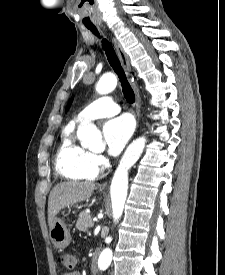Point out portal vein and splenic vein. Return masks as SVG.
<instances>
[{
  "label": "portal vein and splenic vein",
  "mask_w": 225,
  "mask_h": 275,
  "mask_svg": "<svg viewBox=\"0 0 225 275\" xmlns=\"http://www.w3.org/2000/svg\"><path fill=\"white\" fill-rule=\"evenodd\" d=\"M91 225L93 226V222L91 221Z\"/></svg>",
  "instance_id": "obj_1"
}]
</instances>
